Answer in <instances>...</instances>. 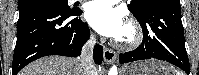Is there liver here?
Wrapping results in <instances>:
<instances>
[{
	"label": "liver",
	"instance_id": "liver-1",
	"mask_svg": "<svg viewBox=\"0 0 199 75\" xmlns=\"http://www.w3.org/2000/svg\"><path fill=\"white\" fill-rule=\"evenodd\" d=\"M83 69L78 59L48 56L30 63L19 75H83Z\"/></svg>",
	"mask_w": 199,
	"mask_h": 75
}]
</instances>
